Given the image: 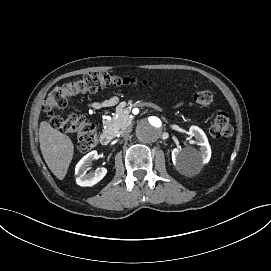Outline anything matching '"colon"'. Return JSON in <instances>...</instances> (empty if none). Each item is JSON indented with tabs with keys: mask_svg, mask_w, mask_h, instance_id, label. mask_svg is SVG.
<instances>
[{
	"mask_svg": "<svg viewBox=\"0 0 271 271\" xmlns=\"http://www.w3.org/2000/svg\"><path fill=\"white\" fill-rule=\"evenodd\" d=\"M138 80L129 74H110L106 72H90L73 81L53 88L45 98L43 109L50 119L51 125L67 134L77 137V147L86 153L97 145L96 126L82 115L62 116L58 110L67 106L68 102L81 94L96 93L110 86L130 85ZM194 101L200 106H210L214 102L211 90H202L194 94ZM233 132L231 121L226 113H219L210 127L213 138L229 137Z\"/></svg>",
	"mask_w": 271,
	"mask_h": 271,
	"instance_id": "obj_1",
	"label": "colon"
}]
</instances>
